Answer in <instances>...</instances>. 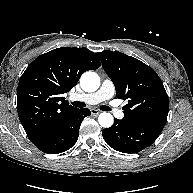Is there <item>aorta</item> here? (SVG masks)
I'll return each instance as SVG.
<instances>
[{
  "mask_svg": "<svg viewBox=\"0 0 193 193\" xmlns=\"http://www.w3.org/2000/svg\"><path fill=\"white\" fill-rule=\"evenodd\" d=\"M80 86L85 92H94L100 86V77L92 71L85 72L80 78ZM100 126L109 128L113 125L114 118L110 113H101L98 117Z\"/></svg>",
  "mask_w": 193,
  "mask_h": 193,
  "instance_id": "obj_1",
  "label": "aorta"
}]
</instances>
